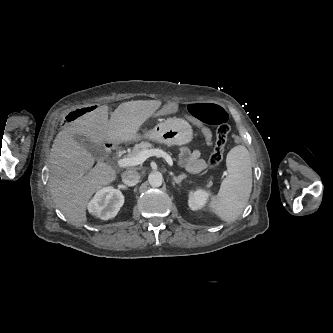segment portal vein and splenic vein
Listing matches in <instances>:
<instances>
[{
  "label": "portal vein and splenic vein",
  "instance_id": "obj_1",
  "mask_svg": "<svg viewBox=\"0 0 333 333\" xmlns=\"http://www.w3.org/2000/svg\"><path fill=\"white\" fill-rule=\"evenodd\" d=\"M151 156L163 157L170 166H173L172 158L166 152L160 149L143 150L136 156L119 159L117 164L119 167L123 168L137 166L142 164L147 158Z\"/></svg>",
  "mask_w": 333,
  "mask_h": 333
}]
</instances>
